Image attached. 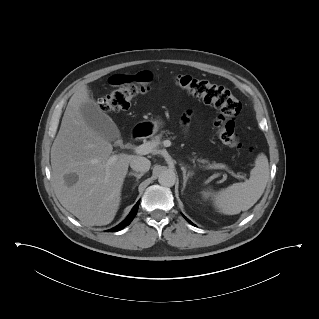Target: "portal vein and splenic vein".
<instances>
[{
    "mask_svg": "<svg viewBox=\"0 0 319 319\" xmlns=\"http://www.w3.org/2000/svg\"><path fill=\"white\" fill-rule=\"evenodd\" d=\"M157 143L155 142H147V143H144L142 145H139L135 148V152L137 154H140V155H146V154H149L151 152L154 151V149L157 147ZM163 146L164 147H170L171 146V142L169 140H165L163 141ZM116 160L115 156L111 157L108 161L109 164L113 163L114 161ZM208 169H225L227 170L229 173H231L232 175L236 176V177H239L237 175H235L233 172H231L230 170H228L227 166L224 165V164H221V163H217L213 166H210V167H207Z\"/></svg>",
    "mask_w": 319,
    "mask_h": 319,
    "instance_id": "1",
    "label": "portal vein and splenic vein"
}]
</instances>
